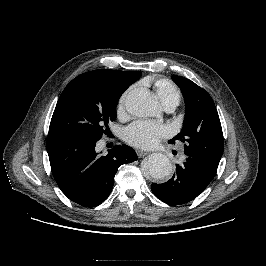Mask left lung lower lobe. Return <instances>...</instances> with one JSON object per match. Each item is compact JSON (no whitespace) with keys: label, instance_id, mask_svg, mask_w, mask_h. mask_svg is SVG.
I'll use <instances>...</instances> for the list:
<instances>
[{"label":"left lung lower lobe","instance_id":"0a47b994","mask_svg":"<svg viewBox=\"0 0 266 266\" xmlns=\"http://www.w3.org/2000/svg\"><path fill=\"white\" fill-rule=\"evenodd\" d=\"M217 167L193 157H187L183 165L176 167V173L166 183L152 184V192L169 205H181L196 198L212 181Z\"/></svg>","mask_w":266,"mask_h":266}]
</instances>
